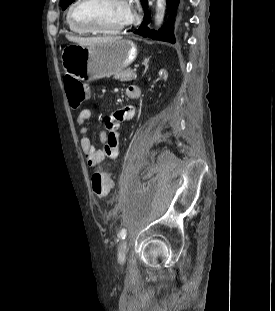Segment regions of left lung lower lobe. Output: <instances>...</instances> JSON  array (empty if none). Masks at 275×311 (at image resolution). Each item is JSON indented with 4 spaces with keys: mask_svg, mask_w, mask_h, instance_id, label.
<instances>
[{
    "mask_svg": "<svg viewBox=\"0 0 275 311\" xmlns=\"http://www.w3.org/2000/svg\"><path fill=\"white\" fill-rule=\"evenodd\" d=\"M178 4H179V0H167L168 8L171 10V12L173 14H175V12L177 10V7H178ZM142 6H143V9L145 11L144 20H143L142 24L140 25L139 29L136 30L134 33H136V34L140 33L141 36L150 37V38L155 39V40H162V41H167V42H170V43H175L174 32L176 33V35L178 34L179 27H180V25H179L180 24V19H179L175 29H174L173 20H172L171 22L166 24L159 31L149 30V28H146V26L150 22V15H149V13L147 11V9H148V1L147 0H143L142 1Z\"/></svg>",
    "mask_w": 275,
    "mask_h": 311,
    "instance_id": "left-lung-lower-lobe-1",
    "label": "left lung lower lobe"
}]
</instances>
